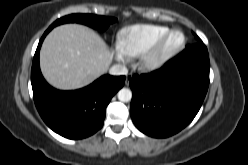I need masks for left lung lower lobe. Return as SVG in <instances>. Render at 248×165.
<instances>
[{"mask_svg":"<svg viewBox=\"0 0 248 165\" xmlns=\"http://www.w3.org/2000/svg\"><path fill=\"white\" fill-rule=\"evenodd\" d=\"M205 45L186 47L159 70L130 80V115L144 134L165 138L185 128L198 113L209 86Z\"/></svg>","mask_w":248,"mask_h":165,"instance_id":"obj_1","label":"left lung lower lobe"}]
</instances>
